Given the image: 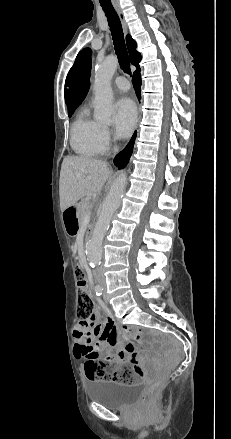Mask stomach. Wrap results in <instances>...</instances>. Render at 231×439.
Listing matches in <instances>:
<instances>
[{"label": "stomach", "instance_id": "0dacf381", "mask_svg": "<svg viewBox=\"0 0 231 439\" xmlns=\"http://www.w3.org/2000/svg\"><path fill=\"white\" fill-rule=\"evenodd\" d=\"M67 210H68V208L66 210H64V212H63L65 215V219L63 221L64 228L68 234L73 235L77 231V223L69 220V218L67 216L68 215Z\"/></svg>", "mask_w": 231, "mask_h": 439}]
</instances>
